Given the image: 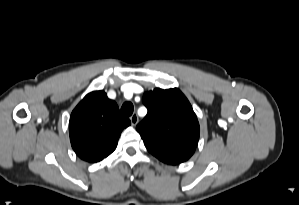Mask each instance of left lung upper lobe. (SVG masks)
<instances>
[{
	"label": "left lung upper lobe",
	"instance_id": "5c2ea615",
	"mask_svg": "<svg viewBox=\"0 0 299 205\" xmlns=\"http://www.w3.org/2000/svg\"><path fill=\"white\" fill-rule=\"evenodd\" d=\"M143 103L148 113L136 129L147 149L196 148L199 123L192 106L179 89L156 88L144 93Z\"/></svg>",
	"mask_w": 299,
	"mask_h": 205
}]
</instances>
